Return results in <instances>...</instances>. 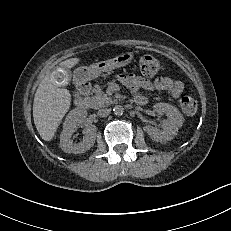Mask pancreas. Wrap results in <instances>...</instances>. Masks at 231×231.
Segmentation results:
<instances>
[{
    "instance_id": "cf45deb5",
    "label": "pancreas",
    "mask_w": 231,
    "mask_h": 231,
    "mask_svg": "<svg viewBox=\"0 0 231 231\" xmlns=\"http://www.w3.org/2000/svg\"><path fill=\"white\" fill-rule=\"evenodd\" d=\"M94 95L90 98V106L94 109H99L110 105L113 100L107 94H105L99 85H95L93 88Z\"/></svg>"
}]
</instances>
